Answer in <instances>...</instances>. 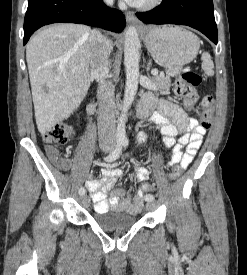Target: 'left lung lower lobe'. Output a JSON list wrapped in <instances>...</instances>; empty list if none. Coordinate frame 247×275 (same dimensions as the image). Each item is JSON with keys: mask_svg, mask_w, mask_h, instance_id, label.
<instances>
[{"mask_svg": "<svg viewBox=\"0 0 247 275\" xmlns=\"http://www.w3.org/2000/svg\"><path fill=\"white\" fill-rule=\"evenodd\" d=\"M146 24H179L195 28L217 44L212 0H163L151 11L136 13Z\"/></svg>", "mask_w": 247, "mask_h": 275, "instance_id": "obj_1", "label": "left lung lower lobe"}]
</instances>
